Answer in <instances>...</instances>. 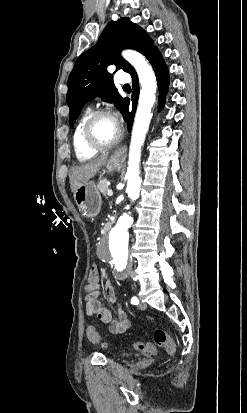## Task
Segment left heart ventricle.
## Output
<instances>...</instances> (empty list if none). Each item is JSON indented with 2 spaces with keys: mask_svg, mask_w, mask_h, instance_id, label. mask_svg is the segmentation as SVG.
<instances>
[{
  "mask_svg": "<svg viewBox=\"0 0 247 413\" xmlns=\"http://www.w3.org/2000/svg\"><path fill=\"white\" fill-rule=\"evenodd\" d=\"M118 133V129L112 128L105 117L98 119L91 131L92 137L101 143L112 141Z\"/></svg>",
  "mask_w": 247,
  "mask_h": 413,
  "instance_id": "obj_1",
  "label": "left heart ventricle"
}]
</instances>
